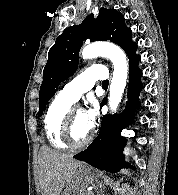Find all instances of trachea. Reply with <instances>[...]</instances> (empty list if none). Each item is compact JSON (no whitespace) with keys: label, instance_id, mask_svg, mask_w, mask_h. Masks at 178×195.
Masks as SVG:
<instances>
[{"label":"trachea","instance_id":"obj_1","mask_svg":"<svg viewBox=\"0 0 178 195\" xmlns=\"http://www.w3.org/2000/svg\"><path fill=\"white\" fill-rule=\"evenodd\" d=\"M108 84H109L108 80H105V81L102 82L103 87H108Z\"/></svg>","mask_w":178,"mask_h":195}]
</instances>
